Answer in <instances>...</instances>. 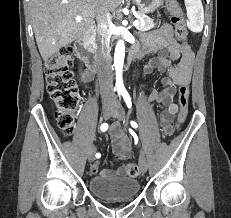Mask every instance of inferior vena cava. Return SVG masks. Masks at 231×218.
Instances as JSON below:
<instances>
[{"mask_svg": "<svg viewBox=\"0 0 231 218\" xmlns=\"http://www.w3.org/2000/svg\"><path fill=\"white\" fill-rule=\"evenodd\" d=\"M97 71L100 85V91L103 98H113V78L110 55V27L112 25L109 12H101L97 17Z\"/></svg>", "mask_w": 231, "mask_h": 218, "instance_id": "inferior-vena-cava-1", "label": "inferior vena cava"}]
</instances>
